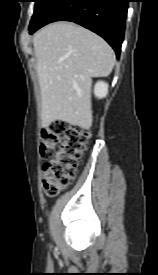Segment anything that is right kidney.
<instances>
[{"label": "right kidney", "instance_id": "obj_1", "mask_svg": "<svg viewBox=\"0 0 158 275\" xmlns=\"http://www.w3.org/2000/svg\"><path fill=\"white\" fill-rule=\"evenodd\" d=\"M108 93V84L104 81H98L94 87V94L98 98H103Z\"/></svg>", "mask_w": 158, "mask_h": 275}]
</instances>
